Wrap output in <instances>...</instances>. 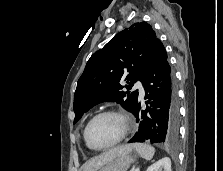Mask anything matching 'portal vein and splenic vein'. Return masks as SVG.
<instances>
[{
    "label": "portal vein and splenic vein",
    "mask_w": 223,
    "mask_h": 171,
    "mask_svg": "<svg viewBox=\"0 0 223 171\" xmlns=\"http://www.w3.org/2000/svg\"><path fill=\"white\" fill-rule=\"evenodd\" d=\"M131 171H139V168H134V170H131Z\"/></svg>",
    "instance_id": "obj_1"
}]
</instances>
